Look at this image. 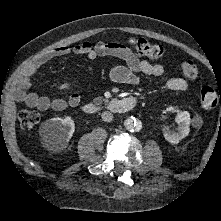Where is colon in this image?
Listing matches in <instances>:
<instances>
[{"label": "colon", "instance_id": "obj_1", "mask_svg": "<svg viewBox=\"0 0 221 221\" xmlns=\"http://www.w3.org/2000/svg\"><path fill=\"white\" fill-rule=\"evenodd\" d=\"M128 49L140 56L151 60L162 58L164 49L160 44L144 38L128 39ZM182 76L188 80H195L199 76V67L193 60H184L180 65ZM200 104L204 110H209L221 104V96L211 87H203L200 91ZM39 114L35 110H23L19 115V123L24 129H31L39 122Z\"/></svg>", "mask_w": 221, "mask_h": 221}]
</instances>
